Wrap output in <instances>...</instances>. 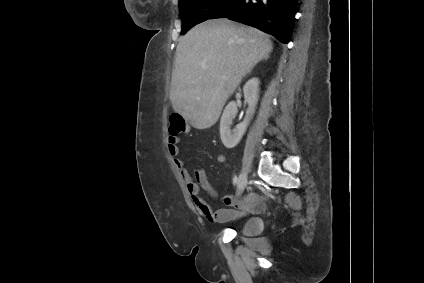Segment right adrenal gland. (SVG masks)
<instances>
[{"label":"right adrenal gland","mask_w":424,"mask_h":283,"mask_svg":"<svg viewBox=\"0 0 424 283\" xmlns=\"http://www.w3.org/2000/svg\"><path fill=\"white\" fill-rule=\"evenodd\" d=\"M265 59H268V57H265ZM256 64H254L248 71H247V73L246 74H248V73H251V71H252V69L254 68V66H255Z\"/></svg>","instance_id":"2a0ac1e0"}]
</instances>
